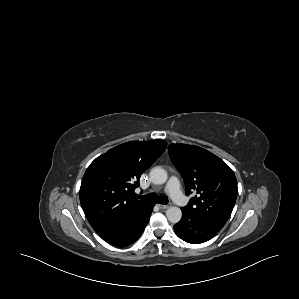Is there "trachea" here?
<instances>
[{"mask_svg": "<svg viewBox=\"0 0 299 299\" xmlns=\"http://www.w3.org/2000/svg\"><path fill=\"white\" fill-rule=\"evenodd\" d=\"M139 197L141 200L146 201V202H150V203H159V204H167L168 203V198L165 196H156L153 193L150 194H146L144 196H137Z\"/></svg>", "mask_w": 299, "mask_h": 299, "instance_id": "trachea-1", "label": "trachea"}]
</instances>
